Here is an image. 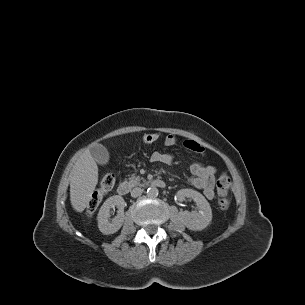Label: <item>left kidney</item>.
I'll return each mask as SVG.
<instances>
[{"label": "left kidney", "instance_id": "left-kidney-1", "mask_svg": "<svg viewBox=\"0 0 305 305\" xmlns=\"http://www.w3.org/2000/svg\"><path fill=\"white\" fill-rule=\"evenodd\" d=\"M179 201L186 198L196 202L198 211L188 212L180 211L178 218L182 224L193 231H201L205 229L212 221V209L205 197L193 189H181L176 194Z\"/></svg>", "mask_w": 305, "mask_h": 305}]
</instances>
